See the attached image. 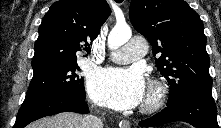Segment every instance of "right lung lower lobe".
I'll list each match as a JSON object with an SVG mask.
<instances>
[{"mask_svg":"<svg viewBox=\"0 0 221 128\" xmlns=\"http://www.w3.org/2000/svg\"><path fill=\"white\" fill-rule=\"evenodd\" d=\"M86 95L65 89H54L26 97L16 118L14 128H23L39 118L60 112L89 113Z\"/></svg>","mask_w":221,"mask_h":128,"instance_id":"98d812e1","label":"right lung lower lobe"}]
</instances>
